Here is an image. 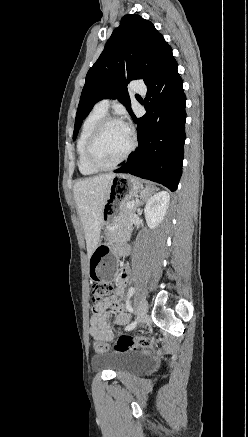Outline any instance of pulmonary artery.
Segmentation results:
<instances>
[{
    "label": "pulmonary artery",
    "instance_id": "pulmonary-artery-1",
    "mask_svg": "<svg viewBox=\"0 0 248 437\" xmlns=\"http://www.w3.org/2000/svg\"><path fill=\"white\" fill-rule=\"evenodd\" d=\"M132 90L137 92V93H144L146 88L144 86L143 83H141V81L139 80H135L132 82ZM109 105H110V100L109 99H103L100 100L96 105H95V109L103 112V113H107L108 109H109Z\"/></svg>",
    "mask_w": 248,
    "mask_h": 437
}]
</instances>
